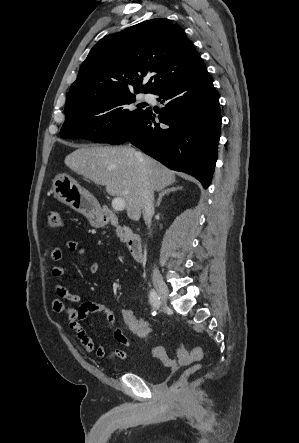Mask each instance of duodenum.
Listing matches in <instances>:
<instances>
[{
    "label": "duodenum",
    "instance_id": "410a0bca",
    "mask_svg": "<svg viewBox=\"0 0 299 443\" xmlns=\"http://www.w3.org/2000/svg\"><path fill=\"white\" fill-rule=\"evenodd\" d=\"M100 219L102 223L118 226L119 221L117 216L109 209L102 208L100 211ZM126 246L129 253L136 261H141L143 258V246L141 238L135 234H129L126 239Z\"/></svg>",
    "mask_w": 299,
    "mask_h": 443
}]
</instances>
